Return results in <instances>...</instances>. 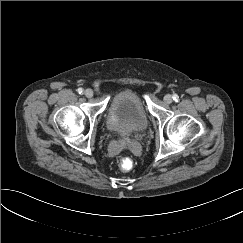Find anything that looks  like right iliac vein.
Returning a JSON list of instances; mask_svg holds the SVG:
<instances>
[{"label":"right iliac vein","instance_id":"right-iliac-vein-1","mask_svg":"<svg viewBox=\"0 0 243 243\" xmlns=\"http://www.w3.org/2000/svg\"><path fill=\"white\" fill-rule=\"evenodd\" d=\"M84 95L87 97V98H91L93 96V91L92 89H86L85 92H84Z\"/></svg>","mask_w":243,"mask_h":243}]
</instances>
